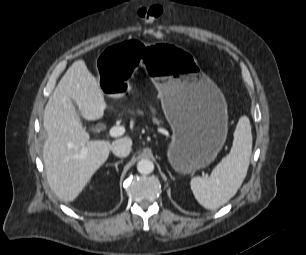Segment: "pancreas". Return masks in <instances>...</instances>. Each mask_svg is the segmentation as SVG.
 <instances>
[{"instance_id":"1","label":"pancreas","mask_w":306,"mask_h":255,"mask_svg":"<svg viewBox=\"0 0 306 255\" xmlns=\"http://www.w3.org/2000/svg\"><path fill=\"white\" fill-rule=\"evenodd\" d=\"M153 122L154 123H156V124H160V123H162L161 121H159L158 119H156V118H153Z\"/></svg>"}]
</instances>
